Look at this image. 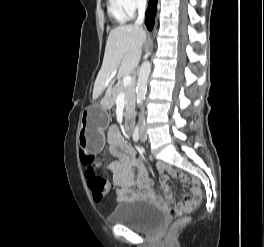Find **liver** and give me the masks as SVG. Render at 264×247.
Segmentation results:
<instances>
[{"label":"liver","mask_w":264,"mask_h":247,"mask_svg":"<svg viewBox=\"0 0 264 247\" xmlns=\"http://www.w3.org/2000/svg\"><path fill=\"white\" fill-rule=\"evenodd\" d=\"M146 33L137 25H124L112 29L108 35L102 67L97 75L93 99L104 91L110 75L118 70V78L130 76L137 68ZM110 89L107 95L110 94Z\"/></svg>","instance_id":"1"}]
</instances>
